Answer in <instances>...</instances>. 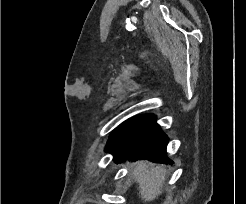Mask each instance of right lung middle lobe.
I'll use <instances>...</instances> for the list:
<instances>
[{
  "label": "right lung middle lobe",
  "instance_id": "right-lung-middle-lobe-1",
  "mask_svg": "<svg viewBox=\"0 0 246 204\" xmlns=\"http://www.w3.org/2000/svg\"><path fill=\"white\" fill-rule=\"evenodd\" d=\"M120 127H121V126H120ZM120 127L117 128V129L111 134L110 139L108 140L107 145H106V149H105L106 152H109V151L112 149L113 145L115 144L116 139H117V135H118L119 130H120Z\"/></svg>",
  "mask_w": 246,
  "mask_h": 204
}]
</instances>
